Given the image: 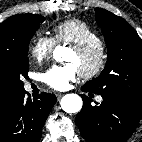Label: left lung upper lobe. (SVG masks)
<instances>
[{"label":"left lung upper lobe","instance_id":"obj_1","mask_svg":"<svg viewBox=\"0 0 142 142\" xmlns=\"http://www.w3.org/2000/svg\"><path fill=\"white\" fill-rule=\"evenodd\" d=\"M95 11L108 57L100 76L83 87L95 94L142 103V39L125 19L102 8Z\"/></svg>","mask_w":142,"mask_h":142}]
</instances>
